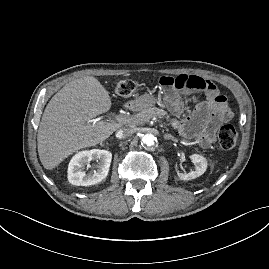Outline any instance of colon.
<instances>
[{"instance_id": "colon-1", "label": "colon", "mask_w": 269, "mask_h": 269, "mask_svg": "<svg viewBox=\"0 0 269 269\" xmlns=\"http://www.w3.org/2000/svg\"><path fill=\"white\" fill-rule=\"evenodd\" d=\"M139 87V83L135 80L127 79L120 81L115 92L119 96H131ZM238 134L233 125L225 124L218 131V142L224 150H231L236 146Z\"/></svg>"}]
</instances>
